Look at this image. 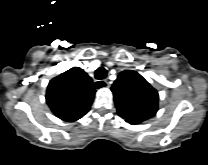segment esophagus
<instances>
[{
    "label": "esophagus",
    "mask_w": 208,
    "mask_h": 165,
    "mask_svg": "<svg viewBox=\"0 0 208 165\" xmlns=\"http://www.w3.org/2000/svg\"><path fill=\"white\" fill-rule=\"evenodd\" d=\"M96 84H99L102 86V88H109V83L108 80H103V81H95V86Z\"/></svg>",
    "instance_id": "obj_1"
}]
</instances>
